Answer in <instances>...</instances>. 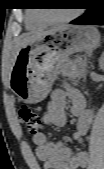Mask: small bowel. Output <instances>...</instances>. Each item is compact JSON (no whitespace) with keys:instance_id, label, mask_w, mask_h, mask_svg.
<instances>
[{"instance_id":"obj_1","label":"small bowel","mask_w":104,"mask_h":169,"mask_svg":"<svg viewBox=\"0 0 104 169\" xmlns=\"http://www.w3.org/2000/svg\"><path fill=\"white\" fill-rule=\"evenodd\" d=\"M67 99L71 100L70 110L77 118L73 139L82 143L94 114L86 107L85 98L77 88L68 87L66 90L53 91L43 115V122L45 125L64 127L67 123ZM33 143L36 146V155L43 162L44 169H78L84 168L88 163V154L85 151L73 152L62 143L49 142L43 133L35 135Z\"/></svg>"}]
</instances>
